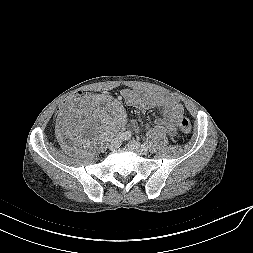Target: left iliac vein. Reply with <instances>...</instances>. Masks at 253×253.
Here are the masks:
<instances>
[{"label": "left iliac vein", "mask_w": 253, "mask_h": 253, "mask_svg": "<svg viewBox=\"0 0 253 253\" xmlns=\"http://www.w3.org/2000/svg\"><path fill=\"white\" fill-rule=\"evenodd\" d=\"M127 147L132 152L138 154V155H146L147 154V147L144 145H141L139 142L131 140L127 143Z\"/></svg>", "instance_id": "4c4485c4"}]
</instances>
